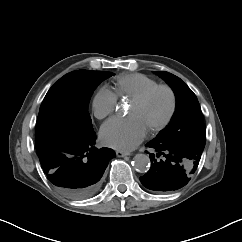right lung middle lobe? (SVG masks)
Returning a JSON list of instances; mask_svg holds the SVG:
<instances>
[{
	"label": "right lung middle lobe",
	"instance_id": "obj_1",
	"mask_svg": "<svg viewBox=\"0 0 242 242\" xmlns=\"http://www.w3.org/2000/svg\"><path fill=\"white\" fill-rule=\"evenodd\" d=\"M111 72L78 70L60 78L47 92L36 122V142L54 133L85 135L94 131L88 104L95 88Z\"/></svg>",
	"mask_w": 242,
	"mask_h": 242
}]
</instances>
